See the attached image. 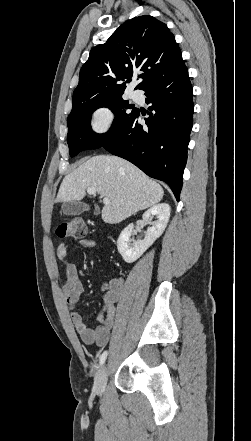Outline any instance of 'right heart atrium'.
Wrapping results in <instances>:
<instances>
[{
	"mask_svg": "<svg viewBox=\"0 0 251 441\" xmlns=\"http://www.w3.org/2000/svg\"><path fill=\"white\" fill-rule=\"evenodd\" d=\"M114 113L108 106H100L90 115L89 127L93 133H106L112 126Z\"/></svg>",
	"mask_w": 251,
	"mask_h": 441,
	"instance_id": "obj_1",
	"label": "right heart atrium"
}]
</instances>
